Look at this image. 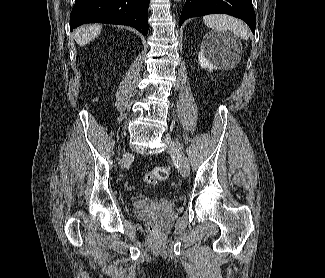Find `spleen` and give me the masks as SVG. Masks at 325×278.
I'll list each match as a JSON object with an SVG mask.
<instances>
[{
	"label": "spleen",
	"instance_id": "obj_1",
	"mask_svg": "<svg viewBox=\"0 0 325 278\" xmlns=\"http://www.w3.org/2000/svg\"><path fill=\"white\" fill-rule=\"evenodd\" d=\"M205 25L217 32H224L229 30L231 33L242 39L249 38V32L247 27L242 21L235 19L234 17L222 14H213L203 17Z\"/></svg>",
	"mask_w": 325,
	"mask_h": 278
}]
</instances>
